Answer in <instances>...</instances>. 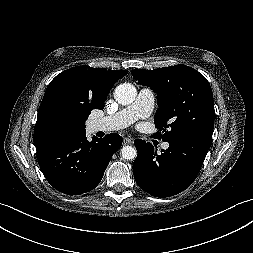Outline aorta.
Instances as JSON below:
<instances>
[{
  "mask_svg": "<svg viewBox=\"0 0 253 253\" xmlns=\"http://www.w3.org/2000/svg\"><path fill=\"white\" fill-rule=\"evenodd\" d=\"M137 96V90L134 85L130 83H123L115 88L114 98L122 105L131 104ZM121 156L123 159L132 160L137 156V151L132 146H124L121 149Z\"/></svg>",
  "mask_w": 253,
  "mask_h": 253,
  "instance_id": "aorta-1",
  "label": "aorta"
}]
</instances>
